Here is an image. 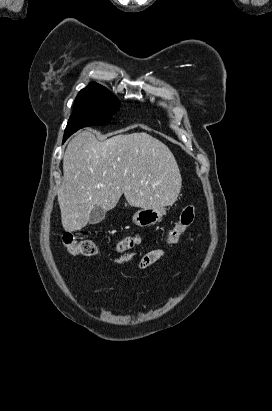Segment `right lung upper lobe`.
Returning a JSON list of instances; mask_svg holds the SVG:
<instances>
[{
  "mask_svg": "<svg viewBox=\"0 0 272 411\" xmlns=\"http://www.w3.org/2000/svg\"><path fill=\"white\" fill-rule=\"evenodd\" d=\"M101 90H106V88L97 83H91L87 88L81 90L79 93L101 91Z\"/></svg>",
  "mask_w": 272,
  "mask_h": 411,
  "instance_id": "1",
  "label": "right lung upper lobe"
}]
</instances>
